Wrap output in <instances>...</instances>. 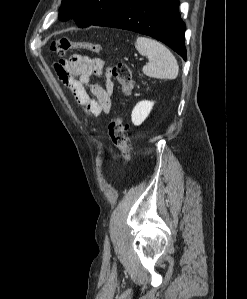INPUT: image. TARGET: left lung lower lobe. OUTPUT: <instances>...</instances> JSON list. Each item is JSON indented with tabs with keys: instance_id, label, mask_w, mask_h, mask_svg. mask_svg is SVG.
I'll return each instance as SVG.
<instances>
[{
	"instance_id": "left-lung-lower-lobe-1",
	"label": "left lung lower lobe",
	"mask_w": 247,
	"mask_h": 299,
	"mask_svg": "<svg viewBox=\"0 0 247 299\" xmlns=\"http://www.w3.org/2000/svg\"><path fill=\"white\" fill-rule=\"evenodd\" d=\"M178 7L179 0H121L92 25L149 35L186 60L185 24Z\"/></svg>"
}]
</instances>
